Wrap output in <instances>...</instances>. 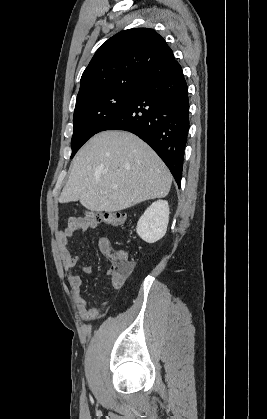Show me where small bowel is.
<instances>
[{
  "label": "small bowel",
  "mask_w": 267,
  "mask_h": 419,
  "mask_svg": "<svg viewBox=\"0 0 267 419\" xmlns=\"http://www.w3.org/2000/svg\"><path fill=\"white\" fill-rule=\"evenodd\" d=\"M99 223L90 217H70L65 228L58 232L57 243L60 250V256L63 267L69 273V285L73 291L74 300L76 302L77 311L80 317L85 320H94L103 316V312L108 310L107 300H103L96 305H90L81 295L82 278L80 275L74 273V269L78 265L79 257L73 255L69 248L70 239L78 231L95 230L98 228ZM99 249L107 257H112L114 250L111 246L109 239L102 235L98 240ZM84 274H91L92 267L86 265L82 268ZM112 287L115 290L120 289L126 277H117L111 275Z\"/></svg>",
  "instance_id": "c3829d8e"
}]
</instances>
